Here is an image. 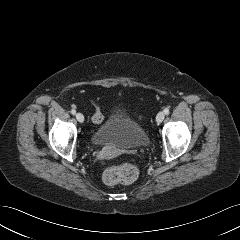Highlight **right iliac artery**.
Wrapping results in <instances>:
<instances>
[{"instance_id":"obj_1","label":"right iliac artery","mask_w":240,"mask_h":240,"mask_svg":"<svg viewBox=\"0 0 240 240\" xmlns=\"http://www.w3.org/2000/svg\"><path fill=\"white\" fill-rule=\"evenodd\" d=\"M71 114L75 115L76 114V110L72 109L71 110Z\"/></svg>"}]
</instances>
